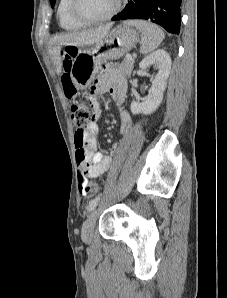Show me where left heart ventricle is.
<instances>
[{
    "mask_svg": "<svg viewBox=\"0 0 227 298\" xmlns=\"http://www.w3.org/2000/svg\"><path fill=\"white\" fill-rule=\"evenodd\" d=\"M115 1L116 0H79L78 11L86 18H100L113 9Z\"/></svg>",
    "mask_w": 227,
    "mask_h": 298,
    "instance_id": "obj_1",
    "label": "left heart ventricle"
}]
</instances>
